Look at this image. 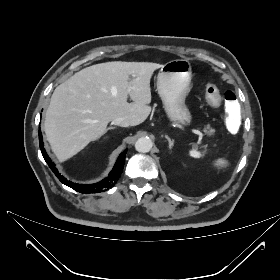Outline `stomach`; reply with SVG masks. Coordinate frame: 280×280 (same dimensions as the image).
<instances>
[{
	"label": "stomach",
	"mask_w": 280,
	"mask_h": 280,
	"mask_svg": "<svg viewBox=\"0 0 280 280\" xmlns=\"http://www.w3.org/2000/svg\"><path fill=\"white\" fill-rule=\"evenodd\" d=\"M192 77L187 59H176L162 65L157 77V90L170 121L189 125L191 113L185 103Z\"/></svg>",
	"instance_id": "obj_1"
}]
</instances>
